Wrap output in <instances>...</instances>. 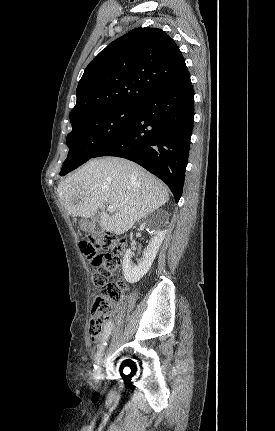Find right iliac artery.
Listing matches in <instances>:
<instances>
[{
  "label": "right iliac artery",
  "mask_w": 275,
  "mask_h": 431,
  "mask_svg": "<svg viewBox=\"0 0 275 431\" xmlns=\"http://www.w3.org/2000/svg\"><path fill=\"white\" fill-rule=\"evenodd\" d=\"M112 329H113V322L112 321H108L107 324H106V326H105V329H104V334H103L102 341H101V343L98 346V351H97V354H96V357H95V362L98 361V359H99V357H100V355H101L104 347L106 346L107 340H108V338H109V336H110V334L112 332ZM94 367H97V366L94 365Z\"/></svg>",
  "instance_id": "right-iliac-artery-1"
}]
</instances>
